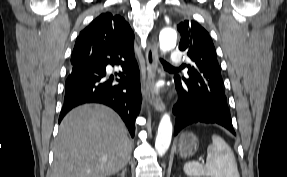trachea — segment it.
Listing matches in <instances>:
<instances>
[{"instance_id":"1","label":"trachea","mask_w":287,"mask_h":177,"mask_svg":"<svg viewBox=\"0 0 287 177\" xmlns=\"http://www.w3.org/2000/svg\"><path fill=\"white\" fill-rule=\"evenodd\" d=\"M161 63L166 66V67H171L170 64H168L167 62H165L163 59H160Z\"/></svg>"}]
</instances>
